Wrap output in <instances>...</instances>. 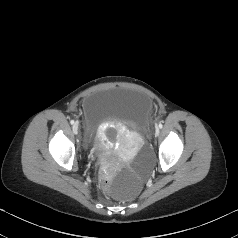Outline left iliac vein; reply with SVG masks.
<instances>
[{
    "mask_svg": "<svg viewBox=\"0 0 238 238\" xmlns=\"http://www.w3.org/2000/svg\"><path fill=\"white\" fill-rule=\"evenodd\" d=\"M159 133H160L159 127H156V128H155V134H156V136H158Z\"/></svg>",
    "mask_w": 238,
    "mask_h": 238,
    "instance_id": "left-iliac-vein-1",
    "label": "left iliac vein"
}]
</instances>
